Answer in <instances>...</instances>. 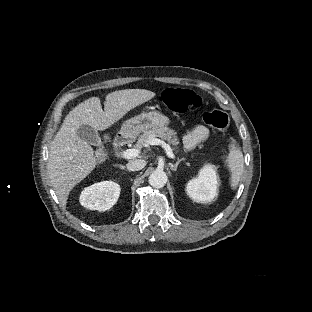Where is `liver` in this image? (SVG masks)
Masks as SVG:
<instances>
[{"mask_svg": "<svg viewBox=\"0 0 312 312\" xmlns=\"http://www.w3.org/2000/svg\"><path fill=\"white\" fill-rule=\"evenodd\" d=\"M155 96L145 89H125L109 93L102 109L100 99L92 97L78 104L65 117L50 145L47 163L50 183L65 206L70 191L86 178L103 158L96 159L92 147L77 135L81 125L105 130L128 111Z\"/></svg>", "mask_w": 312, "mask_h": 312, "instance_id": "1", "label": "liver"}]
</instances>
